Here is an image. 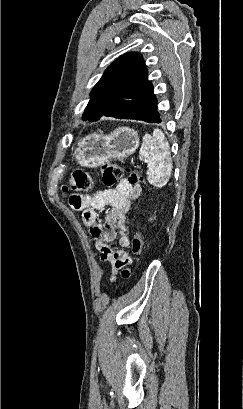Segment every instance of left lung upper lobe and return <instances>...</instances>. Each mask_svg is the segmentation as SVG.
<instances>
[{
  "label": "left lung upper lobe",
  "mask_w": 243,
  "mask_h": 409,
  "mask_svg": "<svg viewBox=\"0 0 243 409\" xmlns=\"http://www.w3.org/2000/svg\"><path fill=\"white\" fill-rule=\"evenodd\" d=\"M147 74L139 53L131 52L118 58L91 91L82 119L97 121L106 112L124 113L127 105L141 101L153 91Z\"/></svg>",
  "instance_id": "obj_1"
}]
</instances>
